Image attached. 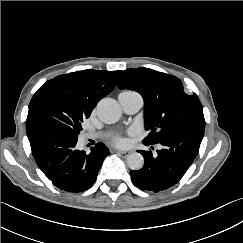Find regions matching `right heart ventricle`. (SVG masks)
Listing matches in <instances>:
<instances>
[{"label": "right heart ventricle", "mask_w": 243, "mask_h": 243, "mask_svg": "<svg viewBox=\"0 0 243 243\" xmlns=\"http://www.w3.org/2000/svg\"><path fill=\"white\" fill-rule=\"evenodd\" d=\"M133 94H138V93L135 92V91H131V90H125V91L120 93V95H133Z\"/></svg>", "instance_id": "1"}]
</instances>
